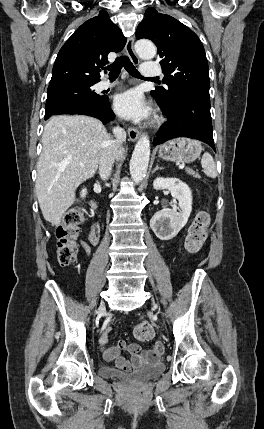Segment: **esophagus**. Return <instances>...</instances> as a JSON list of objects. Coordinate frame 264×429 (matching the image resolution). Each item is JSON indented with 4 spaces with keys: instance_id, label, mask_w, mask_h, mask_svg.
I'll use <instances>...</instances> for the list:
<instances>
[{
    "instance_id": "esophagus-1",
    "label": "esophagus",
    "mask_w": 264,
    "mask_h": 429,
    "mask_svg": "<svg viewBox=\"0 0 264 429\" xmlns=\"http://www.w3.org/2000/svg\"><path fill=\"white\" fill-rule=\"evenodd\" d=\"M125 50L130 58V60L135 64L138 65L139 64V58L137 57L135 51H134V38L130 37L127 39L126 45H125ZM128 136L129 139L133 142H135L138 138H139V131L134 128V127H128Z\"/></svg>"
}]
</instances>
